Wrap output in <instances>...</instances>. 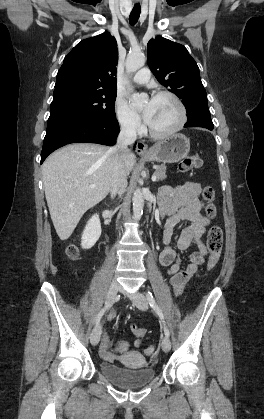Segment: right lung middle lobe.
<instances>
[{
	"mask_svg": "<svg viewBox=\"0 0 264 419\" xmlns=\"http://www.w3.org/2000/svg\"><path fill=\"white\" fill-rule=\"evenodd\" d=\"M117 91H105L78 84L55 88L47 132L72 120L116 119Z\"/></svg>",
	"mask_w": 264,
	"mask_h": 419,
	"instance_id": "dd1d6c3e",
	"label": "right lung middle lobe"
}]
</instances>
